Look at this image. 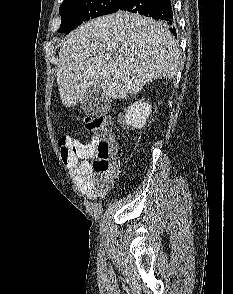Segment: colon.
I'll list each match as a JSON object with an SVG mask.
<instances>
[{"label": "colon", "mask_w": 233, "mask_h": 294, "mask_svg": "<svg viewBox=\"0 0 233 294\" xmlns=\"http://www.w3.org/2000/svg\"><path fill=\"white\" fill-rule=\"evenodd\" d=\"M86 129L93 135V146L89 158L92 160L93 172L100 182H108L118 171L116 159L117 146L109 134V123L102 116L83 118ZM62 159L67 157V149H61Z\"/></svg>", "instance_id": "5ec220e1"}]
</instances>
